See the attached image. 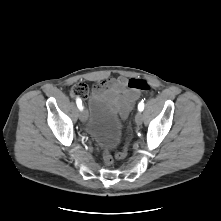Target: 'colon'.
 <instances>
[{
    "instance_id": "obj_1",
    "label": "colon",
    "mask_w": 221,
    "mask_h": 221,
    "mask_svg": "<svg viewBox=\"0 0 221 221\" xmlns=\"http://www.w3.org/2000/svg\"><path fill=\"white\" fill-rule=\"evenodd\" d=\"M128 86L134 91H147L150 89V84L146 79L133 78L128 82ZM72 95L78 97L80 100H85L88 96V86L85 83H78L72 89ZM129 141L126 142L122 150L117 151L114 155L109 151L103 152V161L107 165H111L114 162V158L122 159L127 155Z\"/></svg>"
}]
</instances>
